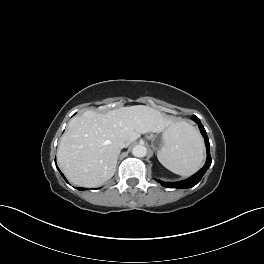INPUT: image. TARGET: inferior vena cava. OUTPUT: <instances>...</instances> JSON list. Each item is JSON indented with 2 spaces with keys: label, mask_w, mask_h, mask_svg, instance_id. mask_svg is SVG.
Wrapping results in <instances>:
<instances>
[{
  "label": "inferior vena cava",
  "mask_w": 264,
  "mask_h": 264,
  "mask_svg": "<svg viewBox=\"0 0 264 264\" xmlns=\"http://www.w3.org/2000/svg\"><path fill=\"white\" fill-rule=\"evenodd\" d=\"M119 146H120L121 148H123V147H125L126 145H125L124 142H120V143H119Z\"/></svg>",
  "instance_id": "1"
}]
</instances>
